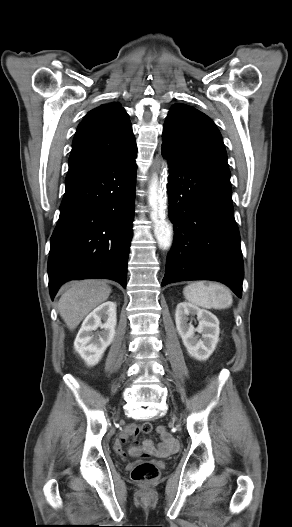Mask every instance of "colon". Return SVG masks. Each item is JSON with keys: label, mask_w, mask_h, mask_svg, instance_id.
Returning <instances> with one entry per match:
<instances>
[{"label": "colon", "mask_w": 292, "mask_h": 527, "mask_svg": "<svg viewBox=\"0 0 292 527\" xmlns=\"http://www.w3.org/2000/svg\"><path fill=\"white\" fill-rule=\"evenodd\" d=\"M150 424L142 425L143 432H148ZM159 476L158 468L149 461H142L138 463L132 470V479L136 482L150 484L154 482Z\"/></svg>", "instance_id": "5ec220e1"}]
</instances>
